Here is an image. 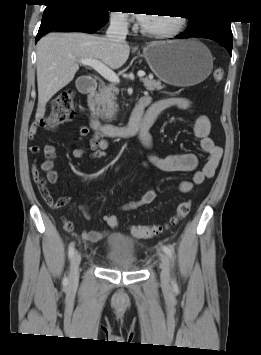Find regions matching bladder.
<instances>
[{
	"instance_id": "obj_1",
	"label": "bladder",
	"mask_w": 261,
	"mask_h": 355,
	"mask_svg": "<svg viewBox=\"0 0 261 355\" xmlns=\"http://www.w3.org/2000/svg\"><path fill=\"white\" fill-rule=\"evenodd\" d=\"M108 259L117 268L132 271L135 269V242L122 233H112L108 237Z\"/></svg>"
}]
</instances>
